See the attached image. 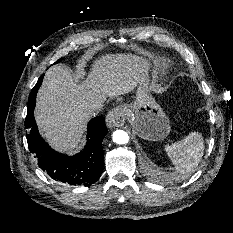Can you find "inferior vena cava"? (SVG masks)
Segmentation results:
<instances>
[{
	"instance_id": "inferior-vena-cava-1",
	"label": "inferior vena cava",
	"mask_w": 233,
	"mask_h": 233,
	"mask_svg": "<svg viewBox=\"0 0 233 233\" xmlns=\"http://www.w3.org/2000/svg\"><path fill=\"white\" fill-rule=\"evenodd\" d=\"M102 107H103L102 102H96V103L93 104L92 110L93 111H98V110H101Z\"/></svg>"
}]
</instances>
